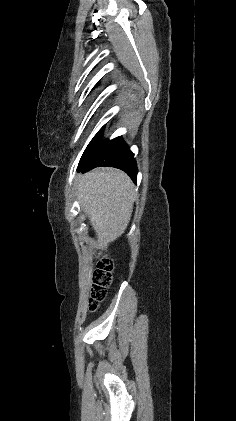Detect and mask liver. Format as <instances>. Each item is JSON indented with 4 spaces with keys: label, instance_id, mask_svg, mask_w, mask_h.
<instances>
[{
    "label": "liver",
    "instance_id": "1",
    "mask_svg": "<svg viewBox=\"0 0 236 421\" xmlns=\"http://www.w3.org/2000/svg\"><path fill=\"white\" fill-rule=\"evenodd\" d=\"M81 211L86 213L98 239L108 249L128 227L135 198L134 184L122 170L98 166L78 178Z\"/></svg>",
    "mask_w": 236,
    "mask_h": 421
}]
</instances>
